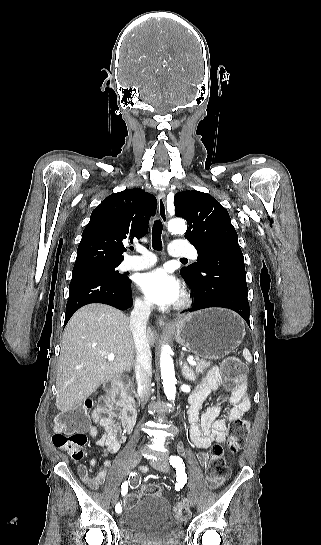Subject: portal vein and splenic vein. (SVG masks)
Masks as SVG:
<instances>
[{
  "instance_id": "portal-vein-and-splenic-vein-1",
  "label": "portal vein and splenic vein",
  "mask_w": 321,
  "mask_h": 545,
  "mask_svg": "<svg viewBox=\"0 0 321 545\" xmlns=\"http://www.w3.org/2000/svg\"><path fill=\"white\" fill-rule=\"evenodd\" d=\"M103 355H104V353H103ZM194 356L195 355H189L188 359H194ZM106 359H108V361H110V363H111V361H114L115 355H113V353H110V355H106Z\"/></svg>"
}]
</instances>
